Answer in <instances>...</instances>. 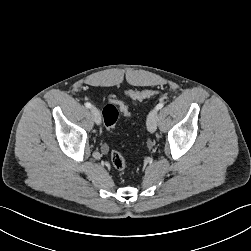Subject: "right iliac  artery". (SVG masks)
Wrapping results in <instances>:
<instances>
[{
    "instance_id": "82829eb1",
    "label": "right iliac artery",
    "mask_w": 251,
    "mask_h": 251,
    "mask_svg": "<svg viewBox=\"0 0 251 251\" xmlns=\"http://www.w3.org/2000/svg\"><path fill=\"white\" fill-rule=\"evenodd\" d=\"M85 106H86L87 108H91V107H92L91 103H89V102H86V103H85Z\"/></svg>"
}]
</instances>
